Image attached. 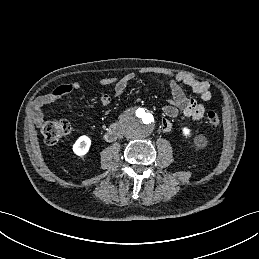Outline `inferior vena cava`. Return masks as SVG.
I'll list each match as a JSON object with an SVG mask.
<instances>
[{"label":"inferior vena cava","mask_w":259,"mask_h":259,"mask_svg":"<svg viewBox=\"0 0 259 259\" xmlns=\"http://www.w3.org/2000/svg\"><path fill=\"white\" fill-rule=\"evenodd\" d=\"M118 135H119V137H122V133H121V132H119V134H118Z\"/></svg>","instance_id":"1"}]
</instances>
